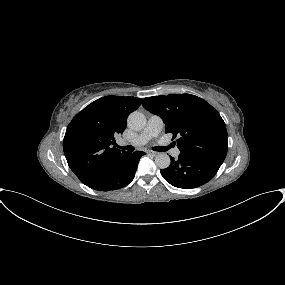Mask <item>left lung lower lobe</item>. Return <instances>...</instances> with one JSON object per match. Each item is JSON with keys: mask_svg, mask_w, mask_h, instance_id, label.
Returning a JSON list of instances; mask_svg holds the SVG:
<instances>
[{"mask_svg": "<svg viewBox=\"0 0 285 285\" xmlns=\"http://www.w3.org/2000/svg\"><path fill=\"white\" fill-rule=\"evenodd\" d=\"M222 163L210 158L180 154L178 160L171 157L170 166L160 172L171 185L177 188L190 189L210 181Z\"/></svg>", "mask_w": 285, "mask_h": 285, "instance_id": "0a47b994", "label": "left lung lower lobe"}]
</instances>
